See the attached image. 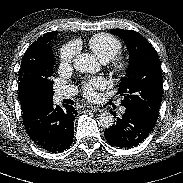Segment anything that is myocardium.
<instances>
[{
	"instance_id": "myocardium-1",
	"label": "myocardium",
	"mask_w": 183,
	"mask_h": 183,
	"mask_svg": "<svg viewBox=\"0 0 183 183\" xmlns=\"http://www.w3.org/2000/svg\"><path fill=\"white\" fill-rule=\"evenodd\" d=\"M109 68L114 75L124 76L130 67V59L127 55L118 53L109 61Z\"/></svg>"
}]
</instances>
